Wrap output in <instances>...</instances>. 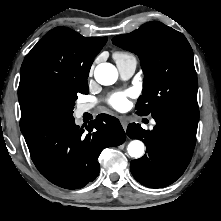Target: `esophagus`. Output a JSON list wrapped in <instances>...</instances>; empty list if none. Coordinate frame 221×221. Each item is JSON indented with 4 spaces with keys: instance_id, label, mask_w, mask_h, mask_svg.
I'll list each match as a JSON object with an SVG mask.
<instances>
[{
    "instance_id": "obj_1",
    "label": "esophagus",
    "mask_w": 221,
    "mask_h": 221,
    "mask_svg": "<svg viewBox=\"0 0 221 221\" xmlns=\"http://www.w3.org/2000/svg\"><path fill=\"white\" fill-rule=\"evenodd\" d=\"M121 124H122L123 129L126 130L128 126V122L125 119H121Z\"/></svg>"
}]
</instances>
